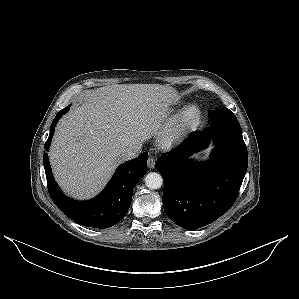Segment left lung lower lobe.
I'll return each mask as SVG.
<instances>
[{
    "label": "left lung lower lobe",
    "mask_w": 299,
    "mask_h": 299,
    "mask_svg": "<svg viewBox=\"0 0 299 299\" xmlns=\"http://www.w3.org/2000/svg\"><path fill=\"white\" fill-rule=\"evenodd\" d=\"M210 122V127L191 133L156 164L164 181V210L187 230L208 225L229 210L247 171V148L236 116L226 110ZM211 138L216 147L210 160H191L190 156L204 149Z\"/></svg>",
    "instance_id": "0a47b994"
}]
</instances>
